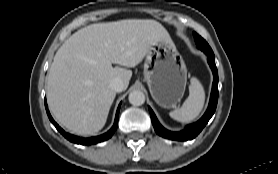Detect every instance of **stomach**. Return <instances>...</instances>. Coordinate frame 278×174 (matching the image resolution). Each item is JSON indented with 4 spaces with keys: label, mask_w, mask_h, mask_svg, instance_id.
<instances>
[{
    "label": "stomach",
    "mask_w": 278,
    "mask_h": 174,
    "mask_svg": "<svg viewBox=\"0 0 278 174\" xmlns=\"http://www.w3.org/2000/svg\"><path fill=\"white\" fill-rule=\"evenodd\" d=\"M144 78L155 102L174 108L182 99L187 83V68L172 40H158L147 51Z\"/></svg>",
    "instance_id": "0dacf381"
}]
</instances>
